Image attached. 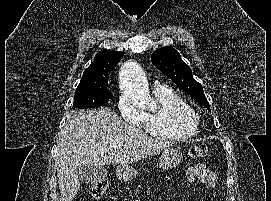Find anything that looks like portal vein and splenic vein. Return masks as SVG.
<instances>
[{
	"label": "portal vein and splenic vein",
	"mask_w": 271,
	"mask_h": 201,
	"mask_svg": "<svg viewBox=\"0 0 271 201\" xmlns=\"http://www.w3.org/2000/svg\"><path fill=\"white\" fill-rule=\"evenodd\" d=\"M114 147H115V148H120V147H121V144H120V143L115 144Z\"/></svg>",
	"instance_id": "obj_1"
}]
</instances>
